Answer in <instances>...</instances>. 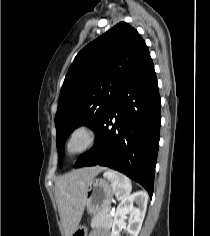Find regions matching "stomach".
I'll use <instances>...</instances> for the list:
<instances>
[{
  "label": "stomach",
  "instance_id": "stomach-1",
  "mask_svg": "<svg viewBox=\"0 0 210 236\" xmlns=\"http://www.w3.org/2000/svg\"><path fill=\"white\" fill-rule=\"evenodd\" d=\"M114 193L109 179H93L85 194V207L88 213L95 216L108 208ZM87 234V227L82 225L77 227L71 236H87Z\"/></svg>",
  "mask_w": 210,
  "mask_h": 236
}]
</instances>
